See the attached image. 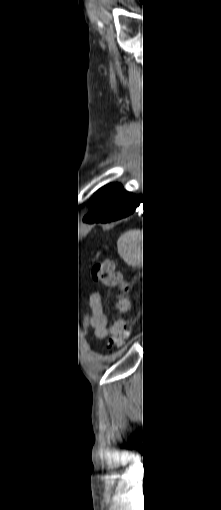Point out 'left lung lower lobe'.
<instances>
[{
    "label": "left lung lower lobe",
    "instance_id": "obj_1",
    "mask_svg": "<svg viewBox=\"0 0 221 510\" xmlns=\"http://www.w3.org/2000/svg\"><path fill=\"white\" fill-rule=\"evenodd\" d=\"M144 203L139 195L132 192L122 190L108 205L97 210L90 211L84 221L88 223L94 222H112L133 214Z\"/></svg>",
    "mask_w": 221,
    "mask_h": 510
}]
</instances>
